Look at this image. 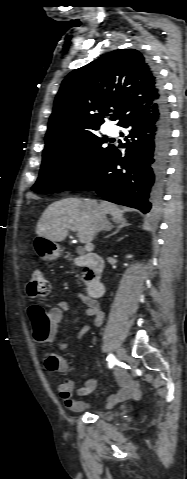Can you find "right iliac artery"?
Here are the masks:
<instances>
[{
	"label": "right iliac artery",
	"mask_w": 187,
	"mask_h": 479,
	"mask_svg": "<svg viewBox=\"0 0 187 479\" xmlns=\"http://www.w3.org/2000/svg\"><path fill=\"white\" fill-rule=\"evenodd\" d=\"M107 361H108L109 368H112L116 364L117 359L115 358L113 354H109L107 357Z\"/></svg>",
	"instance_id": "1"
}]
</instances>
